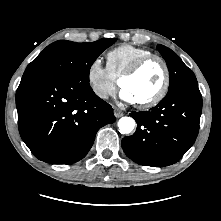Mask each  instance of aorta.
<instances>
[{"label":"aorta","instance_id":"aorta-1","mask_svg":"<svg viewBox=\"0 0 221 221\" xmlns=\"http://www.w3.org/2000/svg\"><path fill=\"white\" fill-rule=\"evenodd\" d=\"M135 127V121L131 117H122L118 121V128L121 134H129Z\"/></svg>","mask_w":221,"mask_h":221}]
</instances>
